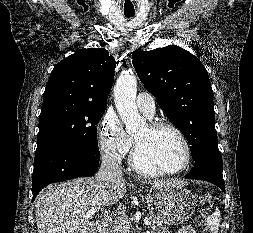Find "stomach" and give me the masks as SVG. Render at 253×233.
Returning <instances> with one entry per match:
<instances>
[{"label":"stomach","mask_w":253,"mask_h":233,"mask_svg":"<svg viewBox=\"0 0 253 233\" xmlns=\"http://www.w3.org/2000/svg\"><path fill=\"white\" fill-rule=\"evenodd\" d=\"M196 205L195 195L180 183L152 186L148 190V209L165 225L181 224L194 213Z\"/></svg>","instance_id":"obj_1"}]
</instances>
